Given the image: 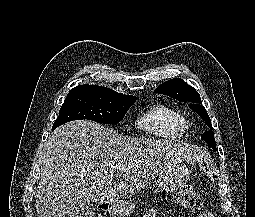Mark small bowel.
<instances>
[{"mask_svg": "<svg viewBox=\"0 0 255 217\" xmlns=\"http://www.w3.org/2000/svg\"><path fill=\"white\" fill-rule=\"evenodd\" d=\"M144 217H157L154 209H149ZM198 217H216L213 212H203Z\"/></svg>", "mask_w": 255, "mask_h": 217, "instance_id": "small-bowel-1", "label": "small bowel"}]
</instances>
